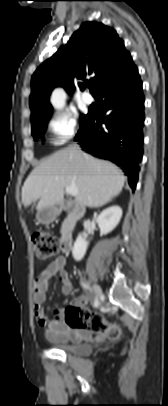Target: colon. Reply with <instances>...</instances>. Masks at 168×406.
Masks as SVG:
<instances>
[{"mask_svg":"<svg viewBox=\"0 0 168 406\" xmlns=\"http://www.w3.org/2000/svg\"><path fill=\"white\" fill-rule=\"evenodd\" d=\"M31 242L34 256L40 261L50 259L59 252V240L47 231L34 232ZM64 318L71 325L83 327L94 333H102L111 340L119 339L122 333L118 325L107 323L103 315L98 312L79 311L73 306H68L65 309Z\"/></svg>","mask_w":168,"mask_h":406,"instance_id":"obj_1","label":"colon"}]
</instances>
